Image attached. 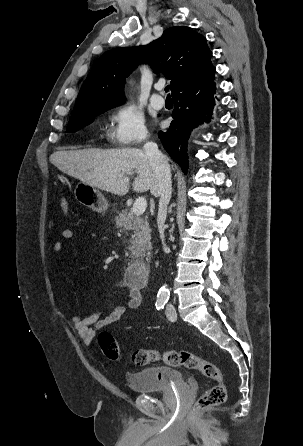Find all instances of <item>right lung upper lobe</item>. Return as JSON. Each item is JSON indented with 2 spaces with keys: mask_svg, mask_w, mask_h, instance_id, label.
I'll use <instances>...</instances> for the list:
<instances>
[{
  "mask_svg": "<svg viewBox=\"0 0 303 446\" xmlns=\"http://www.w3.org/2000/svg\"><path fill=\"white\" fill-rule=\"evenodd\" d=\"M206 39L189 27H170L143 47L115 48L95 63L78 94L72 115L101 106H117L124 99L125 78L140 62L171 79L172 94L214 76Z\"/></svg>",
  "mask_w": 303,
  "mask_h": 446,
  "instance_id": "right-lung-upper-lobe-1",
  "label": "right lung upper lobe"
}]
</instances>
